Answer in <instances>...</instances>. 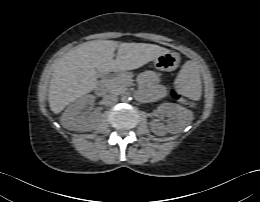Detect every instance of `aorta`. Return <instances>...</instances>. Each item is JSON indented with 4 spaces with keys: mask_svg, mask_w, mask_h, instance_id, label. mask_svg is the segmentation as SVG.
I'll list each match as a JSON object with an SVG mask.
<instances>
[{
    "mask_svg": "<svg viewBox=\"0 0 260 202\" xmlns=\"http://www.w3.org/2000/svg\"><path fill=\"white\" fill-rule=\"evenodd\" d=\"M132 99L129 93H123L121 96V100L123 102H129Z\"/></svg>",
    "mask_w": 260,
    "mask_h": 202,
    "instance_id": "762f6f07",
    "label": "aorta"
}]
</instances>
